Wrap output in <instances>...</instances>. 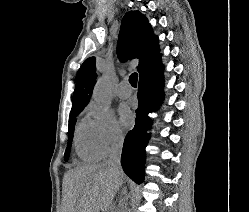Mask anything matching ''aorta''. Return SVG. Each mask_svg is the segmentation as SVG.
<instances>
[{
    "label": "aorta",
    "mask_w": 249,
    "mask_h": 212,
    "mask_svg": "<svg viewBox=\"0 0 249 212\" xmlns=\"http://www.w3.org/2000/svg\"><path fill=\"white\" fill-rule=\"evenodd\" d=\"M94 101L100 106L103 110H107L112 101L111 94V83L109 78L100 77L97 80V83L93 90Z\"/></svg>",
    "instance_id": "762f6f07"
}]
</instances>
